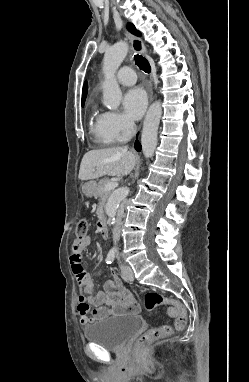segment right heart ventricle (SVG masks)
Wrapping results in <instances>:
<instances>
[{
  "label": "right heart ventricle",
  "instance_id": "e07e8e85",
  "mask_svg": "<svg viewBox=\"0 0 249 382\" xmlns=\"http://www.w3.org/2000/svg\"><path fill=\"white\" fill-rule=\"evenodd\" d=\"M92 132L104 144H112L115 140L107 133L104 125V114L100 113L95 107L92 111Z\"/></svg>",
  "mask_w": 249,
  "mask_h": 382
}]
</instances>
